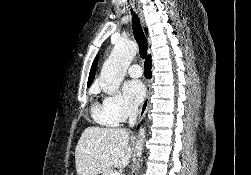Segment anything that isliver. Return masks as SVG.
<instances>
[{"label":"liver","mask_w":251,"mask_h":175,"mask_svg":"<svg viewBox=\"0 0 251 175\" xmlns=\"http://www.w3.org/2000/svg\"><path fill=\"white\" fill-rule=\"evenodd\" d=\"M129 139V131L122 127H86L75 149L77 175H98L113 165H129Z\"/></svg>","instance_id":"liver-1"}]
</instances>
